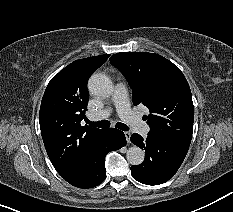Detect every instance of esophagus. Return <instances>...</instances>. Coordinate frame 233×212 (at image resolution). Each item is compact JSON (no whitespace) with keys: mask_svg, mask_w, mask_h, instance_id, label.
I'll list each match as a JSON object with an SVG mask.
<instances>
[{"mask_svg":"<svg viewBox=\"0 0 233 212\" xmlns=\"http://www.w3.org/2000/svg\"><path fill=\"white\" fill-rule=\"evenodd\" d=\"M124 134H125L127 143H130V137H131L130 132H124Z\"/></svg>","mask_w":233,"mask_h":212,"instance_id":"obj_1","label":"esophagus"}]
</instances>
